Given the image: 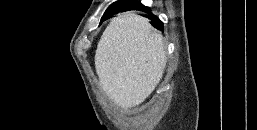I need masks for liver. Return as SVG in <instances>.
Returning <instances> with one entry per match:
<instances>
[{
    "instance_id": "1",
    "label": "liver",
    "mask_w": 257,
    "mask_h": 130,
    "mask_svg": "<svg viewBox=\"0 0 257 130\" xmlns=\"http://www.w3.org/2000/svg\"><path fill=\"white\" fill-rule=\"evenodd\" d=\"M166 61L161 33L152 29L148 19L126 12L114 17L103 32L95 69L108 98L130 109L154 91Z\"/></svg>"
}]
</instances>
